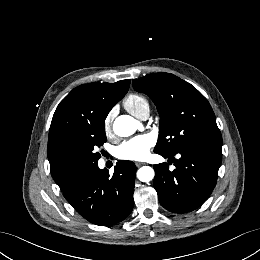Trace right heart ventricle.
<instances>
[{
  "label": "right heart ventricle",
  "instance_id": "right-heart-ventricle-1",
  "mask_svg": "<svg viewBox=\"0 0 260 260\" xmlns=\"http://www.w3.org/2000/svg\"><path fill=\"white\" fill-rule=\"evenodd\" d=\"M124 107L131 114H133L136 117H139L142 110H144L145 108H149V102L143 95L132 93L128 95L125 99Z\"/></svg>",
  "mask_w": 260,
  "mask_h": 260
}]
</instances>
